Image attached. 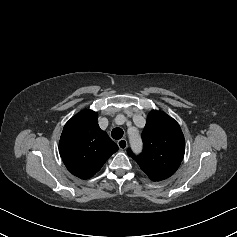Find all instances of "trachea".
I'll use <instances>...</instances> for the list:
<instances>
[{"mask_svg": "<svg viewBox=\"0 0 237 237\" xmlns=\"http://www.w3.org/2000/svg\"><path fill=\"white\" fill-rule=\"evenodd\" d=\"M123 130L121 128H114L111 132V136L116 139V140H119L122 138L123 136Z\"/></svg>", "mask_w": 237, "mask_h": 237, "instance_id": "3493384b", "label": "trachea"}]
</instances>
